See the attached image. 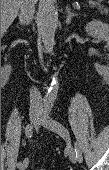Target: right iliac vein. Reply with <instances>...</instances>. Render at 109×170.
Returning <instances> with one entry per match:
<instances>
[{"label": "right iliac vein", "instance_id": "right-iliac-vein-1", "mask_svg": "<svg viewBox=\"0 0 109 170\" xmlns=\"http://www.w3.org/2000/svg\"><path fill=\"white\" fill-rule=\"evenodd\" d=\"M40 117V114L37 110L33 109L30 111L29 113V120H30V123L32 125H34L35 123H37L38 119ZM28 163H29V160L26 159L25 161H23L22 163V166L18 167L20 170H25L28 166Z\"/></svg>", "mask_w": 109, "mask_h": 170}]
</instances>
